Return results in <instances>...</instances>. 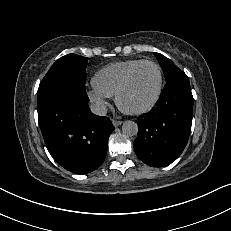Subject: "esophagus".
<instances>
[{"label":"esophagus","instance_id":"34e87169","mask_svg":"<svg viewBox=\"0 0 231 231\" xmlns=\"http://www.w3.org/2000/svg\"><path fill=\"white\" fill-rule=\"evenodd\" d=\"M112 124L115 126V127H118L122 124V121L120 120H117V119H112Z\"/></svg>","mask_w":231,"mask_h":231}]
</instances>
